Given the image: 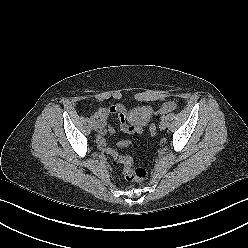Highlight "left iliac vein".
I'll return each mask as SVG.
<instances>
[{"label":"left iliac vein","mask_w":248,"mask_h":248,"mask_svg":"<svg viewBox=\"0 0 248 248\" xmlns=\"http://www.w3.org/2000/svg\"><path fill=\"white\" fill-rule=\"evenodd\" d=\"M166 126H167V123H166L164 120H162V121L159 123V128H160L161 130H164V129L166 128Z\"/></svg>","instance_id":"left-iliac-vein-1"}]
</instances>
